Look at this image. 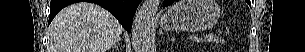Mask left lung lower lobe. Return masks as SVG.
I'll return each mask as SVG.
<instances>
[{
  "instance_id": "left-lung-lower-lobe-1",
  "label": "left lung lower lobe",
  "mask_w": 305,
  "mask_h": 52,
  "mask_svg": "<svg viewBox=\"0 0 305 52\" xmlns=\"http://www.w3.org/2000/svg\"><path fill=\"white\" fill-rule=\"evenodd\" d=\"M176 0H165L164 1V5L165 6H168V5H170V4H172L173 2H175Z\"/></svg>"
}]
</instances>
